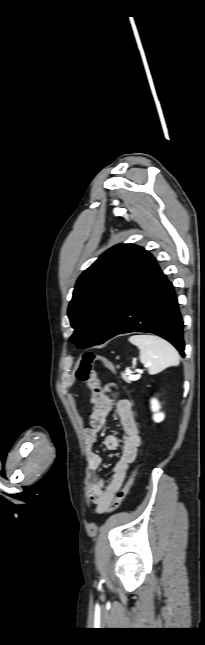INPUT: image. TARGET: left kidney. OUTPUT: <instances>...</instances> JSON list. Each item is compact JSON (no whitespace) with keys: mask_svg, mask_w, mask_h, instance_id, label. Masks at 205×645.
Listing matches in <instances>:
<instances>
[{"mask_svg":"<svg viewBox=\"0 0 205 645\" xmlns=\"http://www.w3.org/2000/svg\"><path fill=\"white\" fill-rule=\"evenodd\" d=\"M151 409L154 412L153 419L155 422H161L164 419V414L159 412L160 404L157 399L151 400Z\"/></svg>","mask_w":205,"mask_h":645,"instance_id":"obj_1","label":"left kidney"}]
</instances>
